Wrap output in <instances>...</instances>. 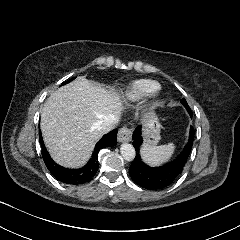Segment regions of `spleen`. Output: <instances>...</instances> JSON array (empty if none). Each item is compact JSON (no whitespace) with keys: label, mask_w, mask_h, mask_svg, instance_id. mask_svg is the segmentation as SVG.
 Instances as JSON below:
<instances>
[{"label":"spleen","mask_w":240,"mask_h":240,"mask_svg":"<svg viewBox=\"0 0 240 240\" xmlns=\"http://www.w3.org/2000/svg\"><path fill=\"white\" fill-rule=\"evenodd\" d=\"M176 148L177 145L175 143H168L159 147L141 145L139 155L142 162L148 167L157 168L171 161Z\"/></svg>","instance_id":"3e777b00"}]
</instances>
